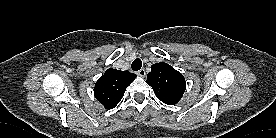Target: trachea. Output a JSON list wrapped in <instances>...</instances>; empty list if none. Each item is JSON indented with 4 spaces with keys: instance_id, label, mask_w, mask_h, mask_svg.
Segmentation results:
<instances>
[{
    "instance_id": "3493384b",
    "label": "trachea",
    "mask_w": 276,
    "mask_h": 138,
    "mask_svg": "<svg viewBox=\"0 0 276 138\" xmlns=\"http://www.w3.org/2000/svg\"><path fill=\"white\" fill-rule=\"evenodd\" d=\"M142 67V61L141 59L139 58H136L133 62H132V65H131V68L133 71H138L140 70Z\"/></svg>"
}]
</instances>
